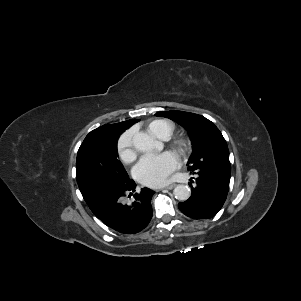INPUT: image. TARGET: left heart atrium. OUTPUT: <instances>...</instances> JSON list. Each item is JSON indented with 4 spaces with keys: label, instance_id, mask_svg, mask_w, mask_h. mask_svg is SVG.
Wrapping results in <instances>:
<instances>
[{
    "label": "left heart atrium",
    "instance_id": "left-heart-atrium-1",
    "mask_svg": "<svg viewBox=\"0 0 301 301\" xmlns=\"http://www.w3.org/2000/svg\"><path fill=\"white\" fill-rule=\"evenodd\" d=\"M179 165V159L173 152L146 155L134 167L133 174L140 183L156 187L163 185Z\"/></svg>",
    "mask_w": 301,
    "mask_h": 301
}]
</instances>
